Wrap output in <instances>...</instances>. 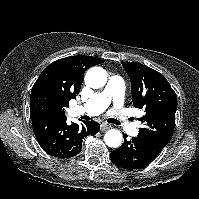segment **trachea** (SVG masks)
Listing matches in <instances>:
<instances>
[{"mask_svg": "<svg viewBox=\"0 0 199 199\" xmlns=\"http://www.w3.org/2000/svg\"><path fill=\"white\" fill-rule=\"evenodd\" d=\"M109 122L113 124H118V125L120 124V122L117 119H112V118L109 119Z\"/></svg>", "mask_w": 199, "mask_h": 199, "instance_id": "3493384b", "label": "trachea"}]
</instances>
